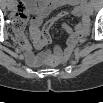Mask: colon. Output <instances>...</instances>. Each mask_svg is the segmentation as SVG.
I'll return each mask as SVG.
<instances>
[{"instance_id":"5ec220e1","label":"colon","mask_w":103,"mask_h":103,"mask_svg":"<svg viewBox=\"0 0 103 103\" xmlns=\"http://www.w3.org/2000/svg\"><path fill=\"white\" fill-rule=\"evenodd\" d=\"M16 6H17V5H16ZM27 18H28V16L26 15V16H24L22 19H19V18L16 19V21H15L16 25H18V26H24L25 23H26ZM50 64H51V65H55L56 62L53 61V60H50Z\"/></svg>"}]
</instances>
